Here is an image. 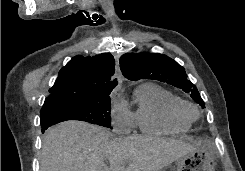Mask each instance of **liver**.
<instances>
[{"label": "liver", "mask_w": 245, "mask_h": 171, "mask_svg": "<svg viewBox=\"0 0 245 171\" xmlns=\"http://www.w3.org/2000/svg\"><path fill=\"white\" fill-rule=\"evenodd\" d=\"M200 143L155 136L110 140L102 128L66 121L46 131L40 171H160ZM110 162V168L104 163Z\"/></svg>", "instance_id": "obj_1"}]
</instances>
